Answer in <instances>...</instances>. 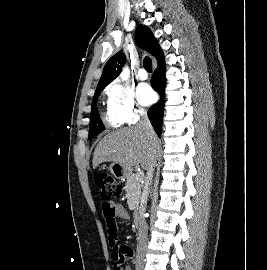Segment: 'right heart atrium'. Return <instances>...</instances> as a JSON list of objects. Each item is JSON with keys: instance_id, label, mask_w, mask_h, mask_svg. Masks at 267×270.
Wrapping results in <instances>:
<instances>
[{"instance_id": "obj_1", "label": "right heart atrium", "mask_w": 267, "mask_h": 270, "mask_svg": "<svg viewBox=\"0 0 267 270\" xmlns=\"http://www.w3.org/2000/svg\"><path fill=\"white\" fill-rule=\"evenodd\" d=\"M105 93L108 111L120 123L134 124L145 115L129 86L113 81L106 87Z\"/></svg>"}]
</instances>
